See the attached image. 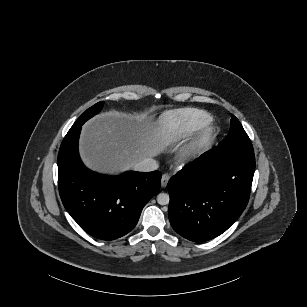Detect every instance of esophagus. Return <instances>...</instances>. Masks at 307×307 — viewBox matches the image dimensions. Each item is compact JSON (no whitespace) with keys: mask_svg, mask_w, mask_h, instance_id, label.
<instances>
[{"mask_svg":"<svg viewBox=\"0 0 307 307\" xmlns=\"http://www.w3.org/2000/svg\"><path fill=\"white\" fill-rule=\"evenodd\" d=\"M169 179H170L169 174H163L161 178V186L166 187Z\"/></svg>","mask_w":307,"mask_h":307,"instance_id":"obj_1","label":"esophagus"}]
</instances>
